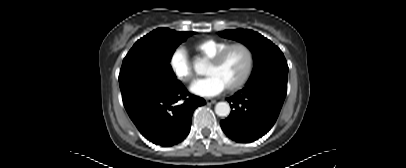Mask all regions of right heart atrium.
Masks as SVG:
<instances>
[{
  "instance_id": "1",
  "label": "right heart atrium",
  "mask_w": 406,
  "mask_h": 168,
  "mask_svg": "<svg viewBox=\"0 0 406 168\" xmlns=\"http://www.w3.org/2000/svg\"><path fill=\"white\" fill-rule=\"evenodd\" d=\"M169 65L174 75L182 82H189L192 78V67L184 47L173 50L169 57Z\"/></svg>"
}]
</instances>
